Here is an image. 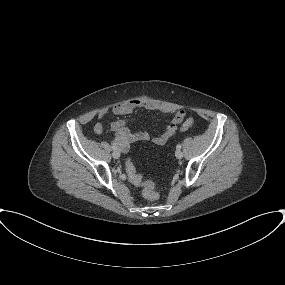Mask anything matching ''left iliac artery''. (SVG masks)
<instances>
[{"label": "left iliac artery", "instance_id": "left-iliac-artery-1", "mask_svg": "<svg viewBox=\"0 0 285 285\" xmlns=\"http://www.w3.org/2000/svg\"><path fill=\"white\" fill-rule=\"evenodd\" d=\"M176 149H177V150H180V149H181V144H178V145L176 146Z\"/></svg>", "mask_w": 285, "mask_h": 285}]
</instances>
